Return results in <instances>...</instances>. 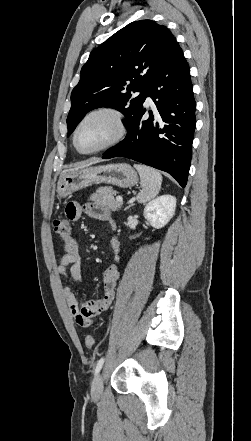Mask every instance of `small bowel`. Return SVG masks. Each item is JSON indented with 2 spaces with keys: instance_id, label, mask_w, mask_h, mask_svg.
I'll return each mask as SVG.
<instances>
[{
  "instance_id": "small-bowel-1",
  "label": "small bowel",
  "mask_w": 251,
  "mask_h": 441,
  "mask_svg": "<svg viewBox=\"0 0 251 441\" xmlns=\"http://www.w3.org/2000/svg\"><path fill=\"white\" fill-rule=\"evenodd\" d=\"M66 215L73 221H77L84 215H88L92 218L108 223L113 230L116 229L111 213L98 204L82 205L75 201L70 202L66 207ZM111 245L115 254V262L102 274V287L104 294L101 298L88 300L79 304L72 286L66 285L62 290L71 315L75 319V322L81 327L86 328L91 326L93 320L99 314L106 311L114 300L116 285L119 278L117 262L119 260L118 253L120 244L116 236L112 238ZM57 272L64 279H70L75 283L80 282L82 274V259L79 251V243L75 239L71 238L64 244V253L57 266Z\"/></svg>"
}]
</instances>
